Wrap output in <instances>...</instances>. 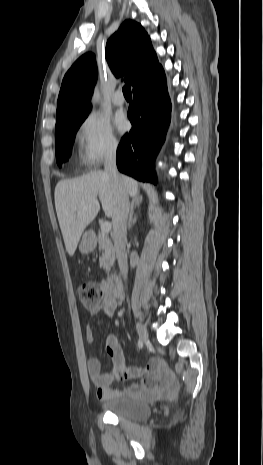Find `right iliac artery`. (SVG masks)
<instances>
[{
    "label": "right iliac artery",
    "instance_id": "obj_1",
    "mask_svg": "<svg viewBox=\"0 0 263 465\" xmlns=\"http://www.w3.org/2000/svg\"><path fill=\"white\" fill-rule=\"evenodd\" d=\"M138 347H139V348H142V347H143V342H142L140 339L138 340Z\"/></svg>",
    "mask_w": 263,
    "mask_h": 465
}]
</instances>
